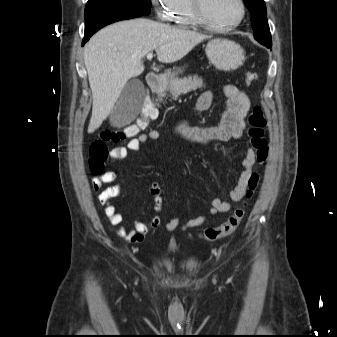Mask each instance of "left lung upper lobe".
Wrapping results in <instances>:
<instances>
[{
    "label": "left lung upper lobe",
    "instance_id": "5c2ea615",
    "mask_svg": "<svg viewBox=\"0 0 337 337\" xmlns=\"http://www.w3.org/2000/svg\"><path fill=\"white\" fill-rule=\"evenodd\" d=\"M251 13L254 38L261 44L268 46L271 43V34L267 23V12L263 0H243Z\"/></svg>",
    "mask_w": 337,
    "mask_h": 337
}]
</instances>
